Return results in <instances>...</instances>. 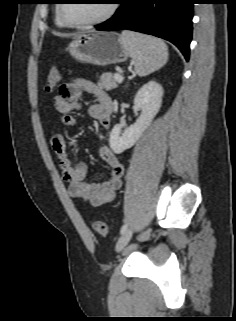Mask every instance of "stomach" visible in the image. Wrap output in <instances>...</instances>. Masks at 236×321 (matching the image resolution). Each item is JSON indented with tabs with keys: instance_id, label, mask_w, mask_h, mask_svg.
<instances>
[{
	"instance_id": "obj_1",
	"label": "stomach",
	"mask_w": 236,
	"mask_h": 321,
	"mask_svg": "<svg viewBox=\"0 0 236 321\" xmlns=\"http://www.w3.org/2000/svg\"><path fill=\"white\" fill-rule=\"evenodd\" d=\"M77 61L98 66L122 63L130 56L116 32H92L75 36L68 46Z\"/></svg>"
}]
</instances>
